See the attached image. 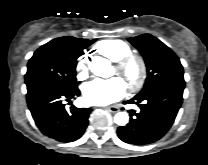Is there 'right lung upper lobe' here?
Listing matches in <instances>:
<instances>
[{"label":"right lung upper lobe","instance_id":"1","mask_svg":"<svg viewBox=\"0 0 208 165\" xmlns=\"http://www.w3.org/2000/svg\"><path fill=\"white\" fill-rule=\"evenodd\" d=\"M72 40H81L79 38L70 37Z\"/></svg>","mask_w":208,"mask_h":165}]
</instances>
